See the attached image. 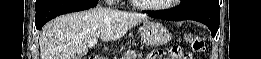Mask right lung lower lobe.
I'll list each match as a JSON object with an SVG mask.
<instances>
[{
    "mask_svg": "<svg viewBox=\"0 0 261 59\" xmlns=\"http://www.w3.org/2000/svg\"><path fill=\"white\" fill-rule=\"evenodd\" d=\"M98 0H43L36 9L35 25L41 30L49 20L66 13L86 10L96 6Z\"/></svg>",
    "mask_w": 261,
    "mask_h": 59,
    "instance_id": "1",
    "label": "right lung lower lobe"
}]
</instances>
